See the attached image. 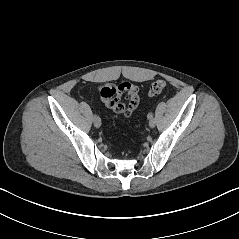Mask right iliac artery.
I'll list each match as a JSON object with an SVG mask.
<instances>
[{"instance_id":"right-iliac-artery-1","label":"right iliac artery","mask_w":239,"mask_h":239,"mask_svg":"<svg viewBox=\"0 0 239 239\" xmlns=\"http://www.w3.org/2000/svg\"><path fill=\"white\" fill-rule=\"evenodd\" d=\"M98 116L96 114L93 115V120H95Z\"/></svg>"}]
</instances>
